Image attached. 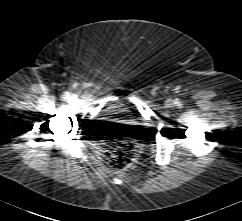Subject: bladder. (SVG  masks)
<instances>
[{
    "label": "bladder",
    "instance_id": "obj_1",
    "mask_svg": "<svg viewBox=\"0 0 242 221\" xmlns=\"http://www.w3.org/2000/svg\"><path fill=\"white\" fill-rule=\"evenodd\" d=\"M109 110L113 115H120L129 111L128 107L122 103H115L110 105Z\"/></svg>",
    "mask_w": 242,
    "mask_h": 221
}]
</instances>
